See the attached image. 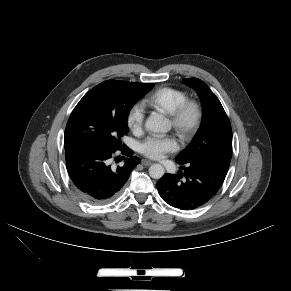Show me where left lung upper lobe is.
<instances>
[{"label":"left lung upper lobe","mask_w":291,"mask_h":291,"mask_svg":"<svg viewBox=\"0 0 291 291\" xmlns=\"http://www.w3.org/2000/svg\"><path fill=\"white\" fill-rule=\"evenodd\" d=\"M183 82L192 86L200 96L202 121L192 141L177 156L176 162L183 165L205 160L229 166L232 156V129L219 99L200 79L187 78Z\"/></svg>","instance_id":"obj_1"}]
</instances>
